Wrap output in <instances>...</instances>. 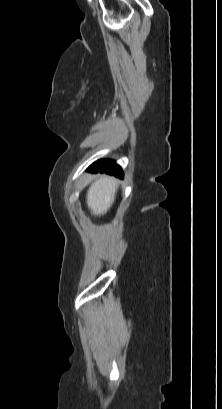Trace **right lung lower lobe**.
Here are the masks:
<instances>
[{"instance_id":"98d812e1","label":"right lung lower lobe","mask_w":222,"mask_h":409,"mask_svg":"<svg viewBox=\"0 0 222 409\" xmlns=\"http://www.w3.org/2000/svg\"><path fill=\"white\" fill-rule=\"evenodd\" d=\"M88 171L96 173L97 172L107 173L110 175H114L116 177L123 178V172L120 166L115 164V162H112L111 160L97 161L88 168Z\"/></svg>"}]
</instances>
